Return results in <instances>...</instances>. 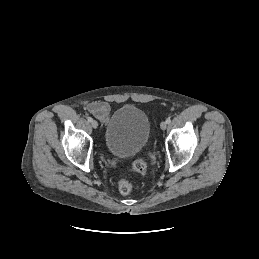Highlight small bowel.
<instances>
[{"label":"small bowel","instance_id":"obj_1","mask_svg":"<svg viewBox=\"0 0 259 259\" xmlns=\"http://www.w3.org/2000/svg\"><path fill=\"white\" fill-rule=\"evenodd\" d=\"M87 109L92 113L96 118L101 121H105L111 111V106L108 102L105 101H95L87 105Z\"/></svg>","mask_w":259,"mask_h":259}]
</instances>
